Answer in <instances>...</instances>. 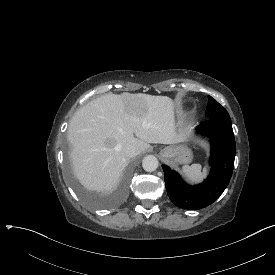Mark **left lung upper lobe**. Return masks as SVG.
Masks as SVG:
<instances>
[{
  "instance_id": "5c2ea615",
  "label": "left lung upper lobe",
  "mask_w": 275,
  "mask_h": 275,
  "mask_svg": "<svg viewBox=\"0 0 275 275\" xmlns=\"http://www.w3.org/2000/svg\"><path fill=\"white\" fill-rule=\"evenodd\" d=\"M208 105L205 112L207 119H220L226 122H231L230 116L216 100H214L211 96H208Z\"/></svg>"
}]
</instances>
